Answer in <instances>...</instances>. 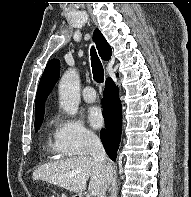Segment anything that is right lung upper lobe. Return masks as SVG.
Masks as SVG:
<instances>
[{
    "instance_id": "obj_1",
    "label": "right lung upper lobe",
    "mask_w": 191,
    "mask_h": 197,
    "mask_svg": "<svg viewBox=\"0 0 191 197\" xmlns=\"http://www.w3.org/2000/svg\"><path fill=\"white\" fill-rule=\"evenodd\" d=\"M93 41L96 44L100 57L103 60H109L111 57V47L98 29L94 31ZM59 66V60H50L47 63L40 79L35 101V124L39 123L40 121L42 122L45 111V101L49 93L52 91L54 84L58 80L60 71Z\"/></svg>"
}]
</instances>
